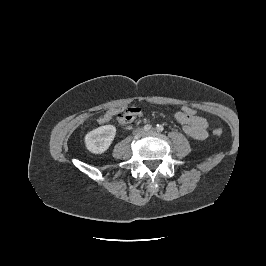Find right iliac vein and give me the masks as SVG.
I'll use <instances>...</instances> for the list:
<instances>
[{
    "label": "right iliac vein",
    "mask_w": 266,
    "mask_h": 266,
    "mask_svg": "<svg viewBox=\"0 0 266 266\" xmlns=\"http://www.w3.org/2000/svg\"><path fill=\"white\" fill-rule=\"evenodd\" d=\"M144 132V130L142 128H138L135 130L136 134H142Z\"/></svg>",
    "instance_id": "1"
}]
</instances>
